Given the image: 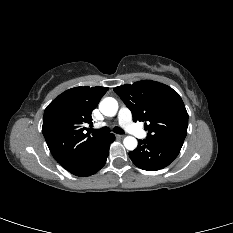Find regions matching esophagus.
<instances>
[{
  "label": "esophagus",
  "instance_id": "1",
  "mask_svg": "<svg viewBox=\"0 0 233 233\" xmlns=\"http://www.w3.org/2000/svg\"><path fill=\"white\" fill-rule=\"evenodd\" d=\"M116 138H118V139H123V138H124V135L117 134V135H116Z\"/></svg>",
  "mask_w": 233,
  "mask_h": 233
}]
</instances>
